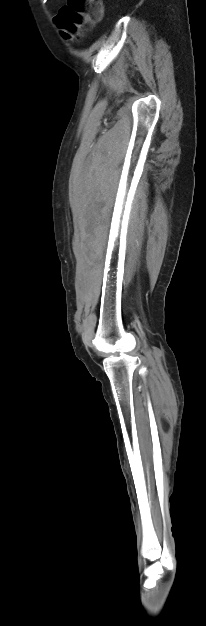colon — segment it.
Returning <instances> with one entry per match:
<instances>
[{"mask_svg":"<svg viewBox=\"0 0 206 626\" xmlns=\"http://www.w3.org/2000/svg\"><path fill=\"white\" fill-rule=\"evenodd\" d=\"M102 15L99 0H67L61 7L55 22L66 38L79 36L82 28H91Z\"/></svg>","mask_w":206,"mask_h":626,"instance_id":"1","label":"colon"}]
</instances>
